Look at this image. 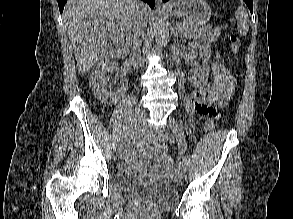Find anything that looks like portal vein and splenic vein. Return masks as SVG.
Returning <instances> with one entry per match:
<instances>
[{
  "label": "portal vein and splenic vein",
  "mask_w": 293,
  "mask_h": 219,
  "mask_svg": "<svg viewBox=\"0 0 293 219\" xmlns=\"http://www.w3.org/2000/svg\"><path fill=\"white\" fill-rule=\"evenodd\" d=\"M177 26H179V24H177ZM209 28H211V27H209ZM208 27H205V29H209Z\"/></svg>",
  "instance_id": "portal-vein-and-splenic-vein-1"
}]
</instances>
